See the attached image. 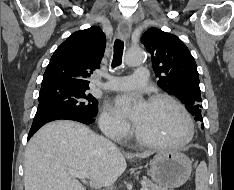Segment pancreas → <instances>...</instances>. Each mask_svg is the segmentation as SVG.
I'll list each match as a JSON object with an SVG mask.
<instances>
[{
  "mask_svg": "<svg viewBox=\"0 0 234 190\" xmlns=\"http://www.w3.org/2000/svg\"><path fill=\"white\" fill-rule=\"evenodd\" d=\"M142 184L144 186H146L147 188H149V190H167L165 188H162L154 183H152L149 179L144 178L142 181Z\"/></svg>",
  "mask_w": 234,
  "mask_h": 190,
  "instance_id": "obj_1",
  "label": "pancreas"
}]
</instances>
